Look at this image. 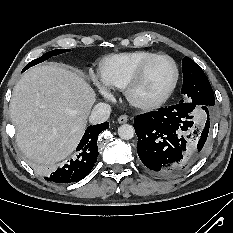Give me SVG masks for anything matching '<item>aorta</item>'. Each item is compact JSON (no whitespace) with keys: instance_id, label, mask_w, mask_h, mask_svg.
Returning <instances> with one entry per match:
<instances>
[{"instance_id":"1","label":"aorta","mask_w":233,"mask_h":233,"mask_svg":"<svg viewBox=\"0 0 233 233\" xmlns=\"http://www.w3.org/2000/svg\"><path fill=\"white\" fill-rule=\"evenodd\" d=\"M135 134L134 128L129 124H123L118 128V135L121 139L130 140Z\"/></svg>"}]
</instances>
